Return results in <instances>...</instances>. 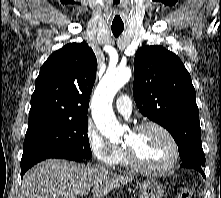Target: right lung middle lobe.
Wrapping results in <instances>:
<instances>
[{
	"label": "right lung middle lobe",
	"instance_id": "obj_1",
	"mask_svg": "<svg viewBox=\"0 0 221 198\" xmlns=\"http://www.w3.org/2000/svg\"><path fill=\"white\" fill-rule=\"evenodd\" d=\"M88 118H43L28 123L21 166L53 152H67L85 159L92 156Z\"/></svg>",
	"mask_w": 221,
	"mask_h": 198
}]
</instances>
